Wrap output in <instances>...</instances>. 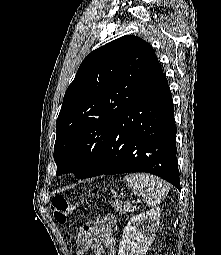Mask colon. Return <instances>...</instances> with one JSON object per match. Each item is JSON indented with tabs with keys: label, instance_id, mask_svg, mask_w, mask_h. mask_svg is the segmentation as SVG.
I'll return each instance as SVG.
<instances>
[{
	"label": "colon",
	"instance_id": "5ec220e1",
	"mask_svg": "<svg viewBox=\"0 0 221 255\" xmlns=\"http://www.w3.org/2000/svg\"><path fill=\"white\" fill-rule=\"evenodd\" d=\"M80 204H70L65 198L61 196H56L52 199L51 209L55 220L64 224L67 221L68 216L79 209Z\"/></svg>",
	"mask_w": 221,
	"mask_h": 255
}]
</instances>
